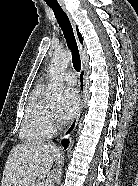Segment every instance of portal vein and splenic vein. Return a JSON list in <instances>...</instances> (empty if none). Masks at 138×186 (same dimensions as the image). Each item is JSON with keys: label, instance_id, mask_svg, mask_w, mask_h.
Returning <instances> with one entry per match:
<instances>
[{"label": "portal vein and splenic vein", "instance_id": "portal-vein-and-splenic-vein-1", "mask_svg": "<svg viewBox=\"0 0 138 186\" xmlns=\"http://www.w3.org/2000/svg\"><path fill=\"white\" fill-rule=\"evenodd\" d=\"M36 186H43V184L42 183H38V184H36Z\"/></svg>", "mask_w": 138, "mask_h": 186}]
</instances>
